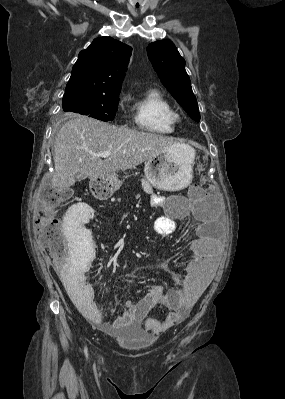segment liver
I'll list each match as a JSON object with an SVG mask.
<instances>
[{
	"mask_svg": "<svg viewBox=\"0 0 285 399\" xmlns=\"http://www.w3.org/2000/svg\"><path fill=\"white\" fill-rule=\"evenodd\" d=\"M168 137L117 127L88 116L76 115L60 128L54 145L52 186L67 189L76 175L90 179L134 168L157 153L177 145ZM110 152L108 158L94 153Z\"/></svg>",
	"mask_w": 285,
	"mask_h": 399,
	"instance_id": "liver-1",
	"label": "liver"
}]
</instances>
